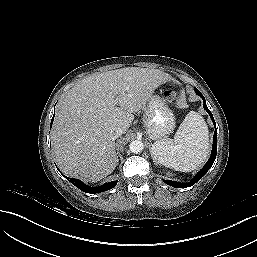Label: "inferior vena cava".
<instances>
[{
    "label": "inferior vena cava",
    "mask_w": 257,
    "mask_h": 257,
    "mask_svg": "<svg viewBox=\"0 0 257 257\" xmlns=\"http://www.w3.org/2000/svg\"><path fill=\"white\" fill-rule=\"evenodd\" d=\"M123 130L121 128H116L112 133V138L115 140L116 138L120 137L123 134Z\"/></svg>",
    "instance_id": "602c4592"
}]
</instances>
